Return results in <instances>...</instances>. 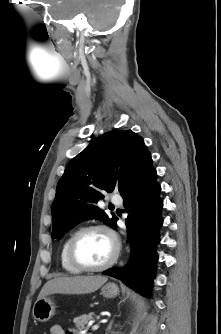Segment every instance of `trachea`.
Returning <instances> with one entry per match:
<instances>
[{
    "instance_id": "obj_1",
    "label": "trachea",
    "mask_w": 221,
    "mask_h": 334,
    "mask_svg": "<svg viewBox=\"0 0 221 334\" xmlns=\"http://www.w3.org/2000/svg\"><path fill=\"white\" fill-rule=\"evenodd\" d=\"M110 207H111V208H114V206H113V205H110Z\"/></svg>"
}]
</instances>
